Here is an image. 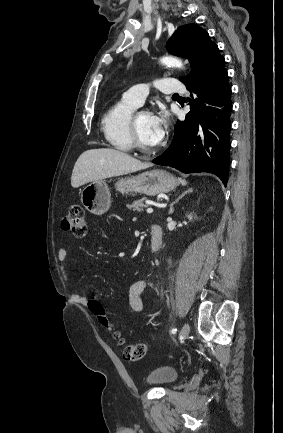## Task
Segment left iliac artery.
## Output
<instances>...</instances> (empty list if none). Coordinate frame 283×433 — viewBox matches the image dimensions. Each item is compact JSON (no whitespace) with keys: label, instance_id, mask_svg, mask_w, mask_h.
<instances>
[{"label":"left iliac artery","instance_id":"1","mask_svg":"<svg viewBox=\"0 0 283 433\" xmlns=\"http://www.w3.org/2000/svg\"><path fill=\"white\" fill-rule=\"evenodd\" d=\"M177 332V329L176 328H173L172 330H171V333L172 334H175Z\"/></svg>","mask_w":283,"mask_h":433}]
</instances>
